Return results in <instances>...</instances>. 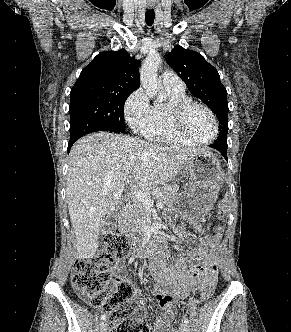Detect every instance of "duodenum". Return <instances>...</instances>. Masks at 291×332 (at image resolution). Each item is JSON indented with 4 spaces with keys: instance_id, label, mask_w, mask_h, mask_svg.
<instances>
[{
    "instance_id": "410a0bca",
    "label": "duodenum",
    "mask_w": 291,
    "mask_h": 332,
    "mask_svg": "<svg viewBox=\"0 0 291 332\" xmlns=\"http://www.w3.org/2000/svg\"><path fill=\"white\" fill-rule=\"evenodd\" d=\"M160 246H161L160 242H158L156 244L155 248H151L150 246H148L146 244H141L139 250L137 251V255L139 257H149V256H152L157 250H159Z\"/></svg>"
}]
</instances>
